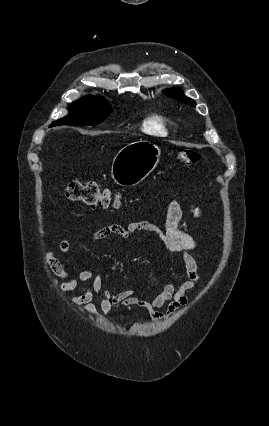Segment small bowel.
Returning <instances> with one entry per match:
<instances>
[{
  "label": "small bowel",
  "mask_w": 269,
  "mask_h": 426,
  "mask_svg": "<svg viewBox=\"0 0 269 426\" xmlns=\"http://www.w3.org/2000/svg\"><path fill=\"white\" fill-rule=\"evenodd\" d=\"M188 211L191 216L202 219L204 212L190 205ZM183 210L177 201H171L166 209V229L163 230L157 224L146 221H132L126 226L118 224L105 225L88 237V241H98L116 235L127 239L138 232H148L155 235L164 246V250L180 257L186 272L187 279L181 283L169 281L161 291L150 298L139 297L134 290L121 289L117 286L110 290L103 288V280L94 269H83L78 276H73L58 260L52 252L46 255L47 268L60 280L54 279V286L62 292L74 291L80 283L86 284L84 292L74 296L70 302L74 306H81L85 313L93 317L109 314L114 307L124 306L144 310L155 320H164L188 304L187 292L192 291L200 280L199 267L194 250L197 243L193 237L181 228ZM71 243L63 240L60 243V251L68 253ZM94 295L99 297V305L92 301ZM166 306L164 311L162 307Z\"/></svg>",
  "instance_id": "1"
}]
</instances>
